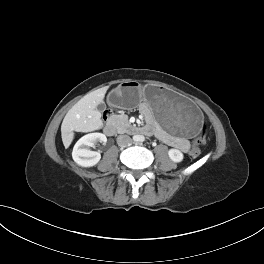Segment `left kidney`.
<instances>
[{"label":"left kidney","instance_id":"left-kidney-1","mask_svg":"<svg viewBox=\"0 0 264 264\" xmlns=\"http://www.w3.org/2000/svg\"><path fill=\"white\" fill-rule=\"evenodd\" d=\"M168 155L173 162L179 163L183 160V153L178 149H170Z\"/></svg>","mask_w":264,"mask_h":264}]
</instances>
